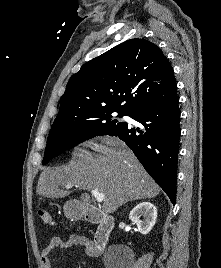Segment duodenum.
Wrapping results in <instances>:
<instances>
[{
    "label": "duodenum",
    "instance_id": "1",
    "mask_svg": "<svg viewBox=\"0 0 221 268\" xmlns=\"http://www.w3.org/2000/svg\"><path fill=\"white\" fill-rule=\"evenodd\" d=\"M80 215L84 220L98 225L94 237V245L96 251L101 253L105 249L114 228V219L99 209L88 205L81 209Z\"/></svg>",
    "mask_w": 221,
    "mask_h": 268
}]
</instances>
